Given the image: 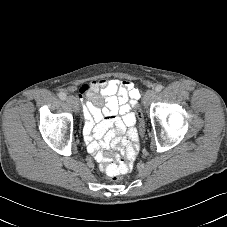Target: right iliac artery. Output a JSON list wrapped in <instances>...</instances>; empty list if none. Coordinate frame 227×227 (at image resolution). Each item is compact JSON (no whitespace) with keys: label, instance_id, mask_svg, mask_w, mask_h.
<instances>
[{"label":"right iliac artery","instance_id":"right-iliac-artery-1","mask_svg":"<svg viewBox=\"0 0 227 227\" xmlns=\"http://www.w3.org/2000/svg\"><path fill=\"white\" fill-rule=\"evenodd\" d=\"M59 98L62 99V100H65L66 99V94L64 92H60L59 93Z\"/></svg>","mask_w":227,"mask_h":227}]
</instances>
